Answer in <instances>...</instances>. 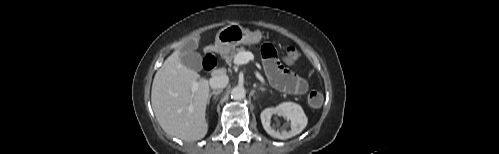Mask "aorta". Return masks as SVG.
<instances>
[{
	"instance_id": "762f6f07",
	"label": "aorta",
	"mask_w": 499,
	"mask_h": 154,
	"mask_svg": "<svg viewBox=\"0 0 499 154\" xmlns=\"http://www.w3.org/2000/svg\"><path fill=\"white\" fill-rule=\"evenodd\" d=\"M246 90L242 86H236L231 91V98L234 100H241L245 97Z\"/></svg>"
}]
</instances>
